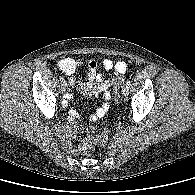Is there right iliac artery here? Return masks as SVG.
Segmentation results:
<instances>
[{"mask_svg":"<svg viewBox=\"0 0 195 195\" xmlns=\"http://www.w3.org/2000/svg\"><path fill=\"white\" fill-rule=\"evenodd\" d=\"M59 79H60L61 82H64L63 76H60Z\"/></svg>","mask_w":195,"mask_h":195,"instance_id":"right-iliac-artery-1","label":"right iliac artery"}]
</instances>
